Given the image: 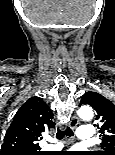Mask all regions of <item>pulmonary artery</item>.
Wrapping results in <instances>:
<instances>
[{
    "label": "pulmonary artery",
    "instance_id": "pulmonary-artery-1",
    "mask_svg": "<svg viewBox=\"0 0 115 155\" xmlns=\"http://www.w3.org/2000/svg\"><path fill=\"white\" fill-rule=\"evenodd\" d=\"M76 135L80 140L88 142L94 138V129L90 126H81L78 128ZM61 148L62 144H57L55 147H51L50 149H61Z\"/></svg>",
    "mask_w": 115,
    "mask_h": 155
}]
</instances>
